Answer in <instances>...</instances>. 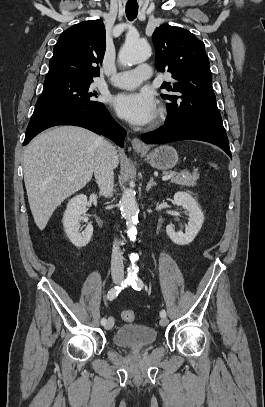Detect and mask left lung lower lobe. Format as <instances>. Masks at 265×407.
<instances>
[{
  "instance_id": "1",
  "label": "left lung lower lobe",
  "mask_w": 265,
  "mask_h": 407,
  "mask_svg": "<svg viewBox=\"0 0 265 407\" xmlns=\"http://www.w3.org/2000/svg\"><path fill=\"white\" fill-rule=\"evenodd\" d=\"M147 144H161L178 140H200L222 148L232 157L227 135H222L208 128L188 123L164 125L158 131L142 135Z\"/></svg>"
}]
</instances>
